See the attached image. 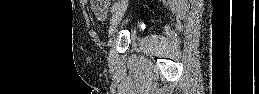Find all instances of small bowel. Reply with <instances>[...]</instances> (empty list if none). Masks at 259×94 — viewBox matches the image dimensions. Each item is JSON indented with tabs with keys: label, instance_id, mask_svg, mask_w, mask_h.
<instances>
[{
	"label": "small bowel",
	"instance_id": "c3829d8e",
	"mask_svg": "<svg viewBox=\"0 0 259 94\" xmlns=\"http://www.w3.org/2000/svg\"><path fill=\"white\" fill-rule=\"evenodd\" d=\"M99 7H104V8H106V3L99 4V5L96 6V8H99Z\"/></svg>",
	"mask_w": 259,
	"mask_h": 94
}]
</instances>
